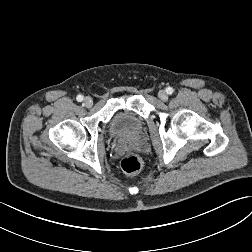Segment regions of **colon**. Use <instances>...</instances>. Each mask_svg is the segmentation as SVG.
Returning a JSON list of instances; mask_svg holds the SVG:
<instances>
[{"mask_svg":"<svg viewBox=\"0 0 252 252\" xmlns=\"http://www.w3.org/2000/svg\"><path fill=\"white\" fill-rule=\"evenodd\" d=\"M121 168L128 174H136L143 168V160L137 154H126L121 160Z\"/></svg>","mask_w":252,"mask_h":252,"instance_id":"5ec220e1","label":"colon"}]
</instances>
